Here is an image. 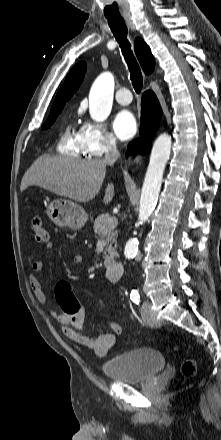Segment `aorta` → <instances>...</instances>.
Segmentation results:
<instances>
[{"label": "aorta", "mask_w": 221, "mask_h": 440, "mask_svg": "<svg viewBox=\"0 0 221 440\" xmlns=\"http://www.w3.org/2000/svg\"><path fill=\"white\" fill-rule=\"evenodd\" d=\"M114 95V77L104 72L97 77L89 94V113L96 122H103L109 116ZM171 136L160 134L154 142L140 198L138 223L148 220L153 212L160 192L166 163L171 152ZM137 238H130L125 246V256L133 257L138 251Z\"/></svg>", "instance_id": "aorta-1"}]
</instances>
